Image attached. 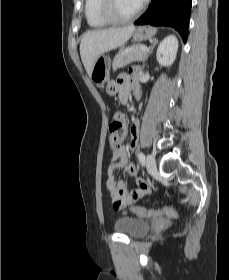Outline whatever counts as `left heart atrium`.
Returning a JSON list of instances; mask_svg holds the SVG:
<instances>
[{"instance_id":"1","label":"left heart atrium","mask_w":229,"mask_h":280,"mask_svg":"<svg viewBox=\"0 0 229 280\" xmlns=\"http://www.w3.org/2000/svg\"><path fill=\"white\" fill-rule=\"evenodd\" d=\"M146 0H137L138 6H142L145 3Z\"/></svg>"}]
</instances>
